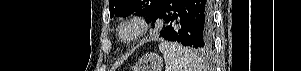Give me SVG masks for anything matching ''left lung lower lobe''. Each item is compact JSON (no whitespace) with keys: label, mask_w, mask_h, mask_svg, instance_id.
<instances>
[{"label":"left lung lower lobe","mask_w":301,"mask_h":71,"mask_svg":"<svg viewBox=\"0 0 301 71\" xmlns=\"http://www.w3.org/2000/svg\"><path fill=\"white\" fill-rule=\"evenodd\" d=\"M158 18L165 23L160 31L165 40L200 50L211 47L210 0H162L151 21Z\"/></svg>","instance_id":"left-lung-lower-lobe-1"}]
</instances>
